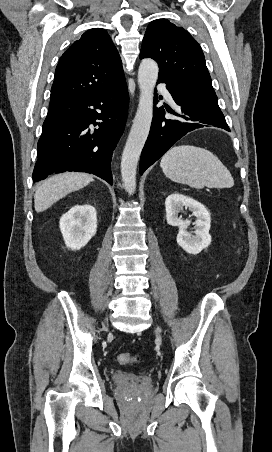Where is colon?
Wrapping results in <instances>:
<instances>
[{
  "label": "colon",
  "instance_id": "colon-1",
  "mask_svg": "<svg viewBox=\"0 0 272 452\" xmlns=\"http://www.w3.org/2000/svg\"><path fill=\"white\" fill-rule=\"evenodd\" d=\"M118 361L122 365H131L139 361V357L130 353H122L118 356Z\"/></svg>",
  "mask_w": 272,
  "mask_h": 452
}]
</instances>
